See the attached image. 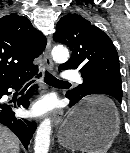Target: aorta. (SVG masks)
<instances>
[{
	"mask_svg": "<svg viewBox=\"0 0 130 153\" xmlns=\"http://www.w3.org/2000/svg\"><path fill=\"white\" fill-rule=\"evenodd\" d=\"M52 57L54 61L65 62L68 60L69 52L65 47L56 46L52 50ZM50 135H51V120L50 118L45 119L39 125L36 137H35V153H48L50 145Z\"/></svg>",
	"mask_w": 130,
	"mask_h": 153,
	"instance_id": "762f6f07",
	"label": "aorta"
}]
</instances>
